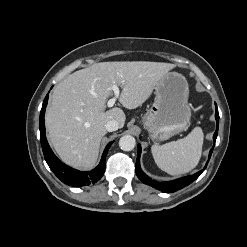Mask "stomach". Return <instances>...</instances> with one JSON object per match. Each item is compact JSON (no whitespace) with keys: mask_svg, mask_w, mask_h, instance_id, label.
<instances>
[{"mask_svg":"<svg viewBox=\"0 0 247 247\" xmlns=\"http://www.w3.org/2000/svg\"><path fill=\"white\" fill-rule=\"evenodd\" d=\"M189 87L183 75L168 72L155 86V100L143 117L153 141H164L186 130L191 119Z\"/></svg>","mask_w":247,"mask_h":247,"instance_id":"stomach-1","label":"stomach"}]
</instances>
